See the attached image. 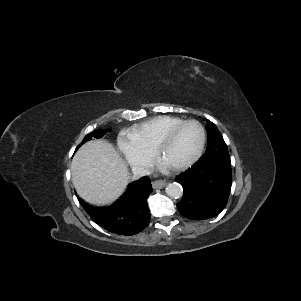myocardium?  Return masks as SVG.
Wrapping results in <instances>:
<instances>
[{
  "label": "myocardium",
  "mask_w": 301,
  "mask_h": 301,
  "mask_svg": "<svg viewBox=\"0 0 301 301\" xmlns=\"http://www.w3.org/2000/svg\"><path fill=\"white\" fill-rule=\"evenodd\" d=\"M187 124H195L199 127L200 132H201V138L199 142V146L195 152V154L186 162L175 165V166H169V169L174 170V171H179V170H184L190 166H192L202 155V152L204 150L205 142H206V130L201 122L195 119H189V120H184L183 122L179 123L178 125L174 126L164 134H162L158 140L156 141L154 145V155L156 159L161 162V155H162V150L166 144H168L175 136L176 134Z\"/></svg>",
  "instance_id": "obj_1"
}]
</instances>
